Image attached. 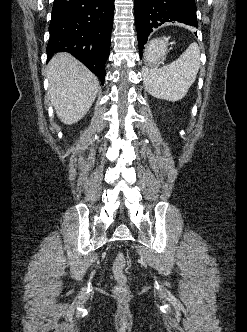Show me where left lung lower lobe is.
I'll return each mask as SVG.
<instances>
[{
    "instance_id": "left-lung-lower-lobe-1",
    "label": "left lung lower lobe",
    "mask_w": 247,
    "mask_h": 332,
    "mask_svg": "<svg viewBox=\"0 0 247 332\" xmlns=\"http://www.w3.org/2000/svg\"><path fill=\"white\" fill-rule=\"evenodd\" d=\"M134 8L140 56L149 35L165 22L198 27L195 0H134Z\"/></svg>"
}]
</instances>
